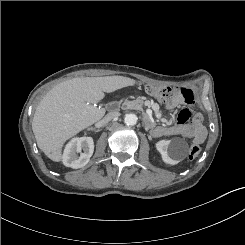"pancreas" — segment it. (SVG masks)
<instances>
[{
  "instance_id": "cf45deb5",
  "label": "pancreas",
  "mask_w": 245,
  "mask_h": 245,
  "mask_svg": "<svg viewBox=\"0 0 245 245\" xmlns=\"http://www.w3.org/2000/svg\"><path fill=\"white\" fill-rule=\"evenodd\" d=\"M119 106H121L122 109H133V110H141L143 106V100L142 99H136V100H124L120 101L118 103Z\"/></svg>"
}]
</instances>
